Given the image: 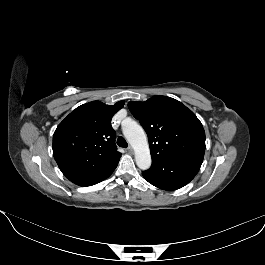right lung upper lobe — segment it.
Wrapping results in <instances>:
<instances>
[{"label":"right lung upper lobe","mask_w":265,"mask_h":265,"mask_svg":"<svg viewBox=\"0 0 265 265\" xmlns=\"http://www.w3.org/2000/svg\"><path fill=\"white\" fill-rule=\"evenodd\" d=\"M119 101L110 106L99 101L73 110L53 135V155L65 173L86 169L106 170L115 167L121 157L115 145L112 116L124 106Z\"/></svg>","instance_id":"right-lung-upper-lobe-1"}]
</instances>
